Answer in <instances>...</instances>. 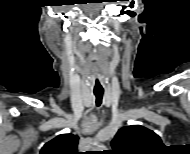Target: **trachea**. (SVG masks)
I'll list each match as a JSON object with an SVG mask.
<instances>
[{
  "instance_id": "3493384b",
  "label": "trachea",
  "mask_w": 190,
  "mask_h": 154,
  "mask_svg": "<svg viewBox=\"0 0 190 154\" xmlns=\"http://www.w3.org/2000/svg\"><path fill=\"white\" fill-rule=\"evenodd\" d=\"M94 95L96 97V105L100 106L102 103V98H103V91H94Z\"/></svg>"
}]
</instances>
